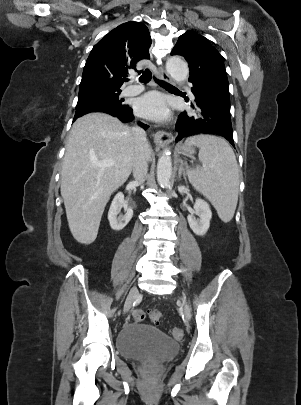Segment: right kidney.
<instances>
[{
  "label": "right kidney",
  "mask_w": 301,
  "mask_h": 405,
  "mask_svg": "<svg viewBox=\"0 0 301 405\" xmlns=\"http://www.w3.org/2000/svg\"><path fill=\"white\" fill-rule=\"evenodd\" d=\"M121 208H124L126 213L124 216L118 217V214L120 213ZM132 216H133V210H132V208H130L126 205L123 193L122 192L117 193L111 203V206H110V209L108 212V220H109L111 228L115 231L122 230L128 224V222L131 220Z\"/></svg>",
  "instance_id": "ca27d5eb"
}]
</instances>
